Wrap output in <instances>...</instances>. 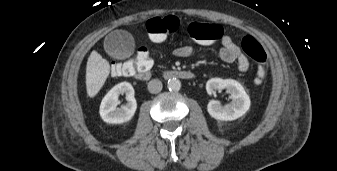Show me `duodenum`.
<instances>
[{
    "label": "duodenum",
    "instance_id": "duodenum-1",
    "mask_svg": "<svg viewBox=\"0 0 337 171\" xmlns=\"http://www.w3.org/2000/svg\"><path fill=\"white\" fill-rule=\"evenodd\" d=\"M135 77L139 80H148L151 77V72L149 69H140L136 71ZM161 77L164 80L169 79H185L190 80L195 78V74L190 71L178 70V69H168L161 73Z\"/></svg>",
    "mask_w": 337,
    "mask_h": 171
}]
</instances>
